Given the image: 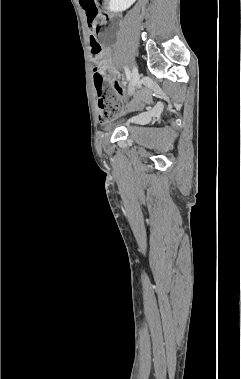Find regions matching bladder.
Returning a JSON list of instances; mask_svg holds the SVG:
<instances>
[{
  "instance_id": "bladder-1",
  "label": "bladder",
  "mask_w": 241,
  "mask_h": 379,
  "mask_svg": "<svg viewBox=\"0 0 241 379\" xmlns=\"http://www.w3.org/2000/svg\"><path fill=\"white\" fill-rule=\"evenodd\" d=\"M138 118H139L138 116H131V115L122 116L115 122L114 125L117 127H123L130 130L133 126L139 125Z\"/></svg>"
}]
</instances>
